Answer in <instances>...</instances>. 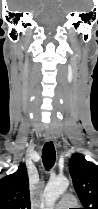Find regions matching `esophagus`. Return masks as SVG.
<instances>
[{
  "mask_svg": "<svg viewBox=\"0 0 98 209\" xmlns=\"http://www.w3.org/2000/svg\"><path fill=\"white\" fill-rule=\"evenodd\" d=\"M45 140L47 142H51L54 140V135H53V132L51 130H48L45 134Z\"/></svg>",
  "mask_w": 98,
  "mask_h": 209,
  "instance_id": "esophagus-1",
  "label": "esophagus"
}]
</instances>
